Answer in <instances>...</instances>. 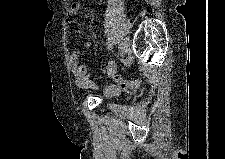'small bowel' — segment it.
Masks as SVG:
<instances>
[{
  "mask_svg": "<svg viewBox=\"0 0 225 159\" xmlns=\"http://www.w3.org/2000/svg\"><path fill=\"white\" fill-rule=\"evenodd\" d=\"M83 7V2L78 1L74 3L69 12V19H71L73 16L78 14L80 10ZM92 43L90 41H86L84 43V48L88 49L91 48ZM82 52L79 49H75L71 53V59H72V74L75 80V83L78 87L84 88V89H96V86L93 84V82L89 78V74L87 71L86 66L79 61V58L81 57ZM100 70L104 73L108 72L110 78L114 82V84L106 86L104 88V93L107 96H114L120 93L122 90H132L138 86L137 81H126L122 77H120L118 74H116L115 71H113V68L111 66L101 65Z\"/></svg>",
  "mask_w": 225,
  "mask_h": 159,
  "instance_id": "1",
  "label": "small bowel"
}]
</instances>
